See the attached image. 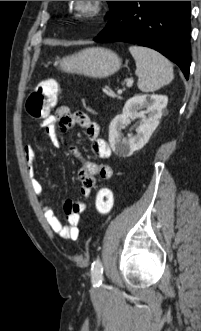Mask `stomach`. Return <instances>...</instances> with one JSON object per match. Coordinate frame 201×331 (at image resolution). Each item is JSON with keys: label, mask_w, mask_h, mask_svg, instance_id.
I'll return each instance as SVG.
<instances>
[{"label": "stomach", "mask_w": 201, "mask_h": 331, "mask_svg": "<svg viewBox=\"0 0 201 331\" xmlns=\"http://www.w3.org/2000/svg\"><path fill=\"white\" fill-rule=\"evenodd\" d=\"M61 70L94 78H105L121 67V59L112 50L91 47L59 61Z\"/></svg>", "instance_id": "obj_1"}]
</instances>
